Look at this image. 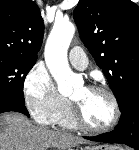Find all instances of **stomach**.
Listing matches in <instances>:
<instances>
[{
    "label": "stomach",
    "mask_w": 139,
    "mask_h": 150,
    "mask_svg": "<svg viewBox=\"0 0 139 150\" xmlns=\"http://www.w3.org/2000/svg\"><path fill=\"white\" fill-rule=\"evenodd\" d=\"M80 150H122L119 147L116 146H92V147H85L84 149L81 148Z\"/></svg>",
    "instance_id": "1"
}]
</instances>
